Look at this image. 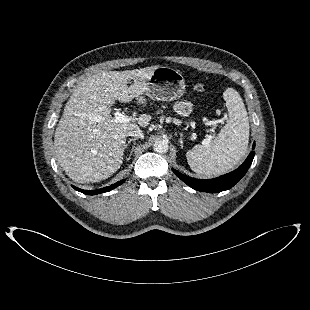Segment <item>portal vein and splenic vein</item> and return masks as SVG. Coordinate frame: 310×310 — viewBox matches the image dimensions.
<instances>
[{
  "label": "portal vein and splenic vein",
  "instance_id": "1",
  "mask_svg": "<svg viewBox=\"0 0 310 310\" xmlns=\"http://www.w3.org/2000/svg\"><path fill=\"white\" fill-rule=\"evenodd\" d=\"M114 121L115 122H120V123H125V122H129L130 121V117L125 115L124 113L120 112V111H116L114 112ZM212 139L211 136L207 137L204 142L208 143L210 142V140Z\"/></svg>",
  "mask_w": 310,
  "mask_h": 310
}]
</instances>
